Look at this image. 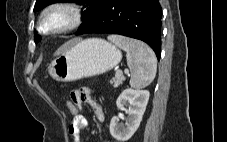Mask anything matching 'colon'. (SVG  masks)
<instances>
[{"label":"colon","mask_w":227,"mask_h":142,"mask_svg":"<svg viewBox=\"0 0 227 142\" xmlns=\"http://www.w3.org/2000/svg\"><path fill=\"white\" fill-rule=\"evenodd\" d=\"M66 104H67V108H68L69 112L73 116V119H78L81 117V115H82L81 110L78 108L77 105H75L72 102V100H68Z\"/></svg>","instance_id":"colon-1"}]
</instances>
